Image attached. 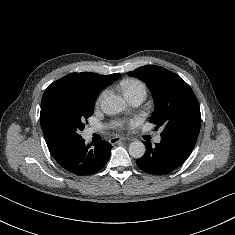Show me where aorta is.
Segmentation results:
<instances>
[{"mask_svg":"<svg viewBox=\"0 0 235 235\" xmlns=\"http://www.w3.org/2000/svg\"><path fill=\"white\" fill-rule=\"evenodd\" d=\"M102 108L107 114H117L125 109V101L118 95L110 94L103 99ZM128 151L133 158L139 159L144 156L146 148L141 141H134Z\"/></svg>","mask_w":235,"mask_h":235,"instance_id":"aorta-1","label":"aorta"}]
</instances>
